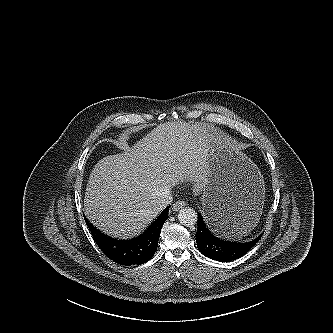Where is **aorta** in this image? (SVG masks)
Segmentation results:
<instances>
[{"label": "aorta", "mask_w": 333, "mask_h": 333, "mask_svg": "<svg viewBox=\"0 0 333 333\" xmlns=\"http://www.w3.org/2000/svg\"><path fill=\"white\" fill-rule=\"evenodd\" d=\"M178 220L182 225L192 226L197 223V213L190 207L182 208L178 214Z\"/></svg>", "instance_id": "obj_1"}]
</instances>
